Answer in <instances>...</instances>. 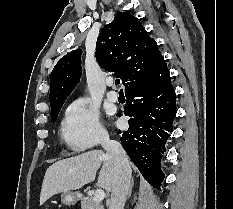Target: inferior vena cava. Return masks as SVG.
<instances>
[{"mask_svg": "<svg viewBox=\"0 0 233 209\" xmlns=\"http://www.w3.org/2000/svg\"><path fill=\"white\" fill-rule=\"evenodd\" d=\"M101 145L111 155L115 164V181L109 209H124L125 201L130 190L132 172L128 157L121 144L117 141L110 140L108 136L102 138Z\"/></svg>", "mask_w": 233, "mask_h": 209, "instance_id": "602c4592", "label": "inferior vena cava"}]
</instances>
